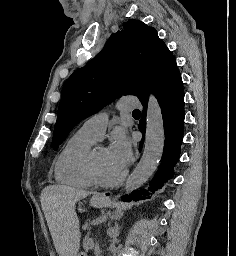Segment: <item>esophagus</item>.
Instances as JSON below:
<instances>
[{
  "instance_id": "esophagus-1",
  "label": "esophagus",
  "mask_w": 236,
  "mask_h": 256,
  "mask_svg": "<svg viewBox=\"0 0 236 256\" xmlns=\"http://www.w3.org/2000/svg\"><path fill=\"white\" fill-rule=\"evenodd\" d=\"M110 196H111V193L109 191H104V192L96 195L95 197L101 198V199H107V198H110Z\"/></svg>"
}]
</instances>
